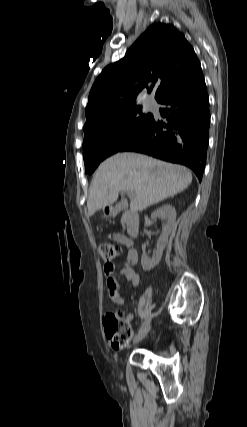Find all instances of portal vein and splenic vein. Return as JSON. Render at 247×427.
Listing matches in <instances>:
<instances>
[{
  "instance_id": "portal-vein-and-splenic-vein-1",
  "label": "portal vein and splenic vein",
  "mask_w": 247,
  "mask_h": 427,
  "mask_svg": "<svg viewBox=\"0 0 247 427\" xmlns=\"http://www.w3.org/2000/svg\"><path fill=\"white\" fill-rule=\"evenodd\" d=\"M128 196H132V193L128 192Z\"/></svg>"
}]
</instances>
